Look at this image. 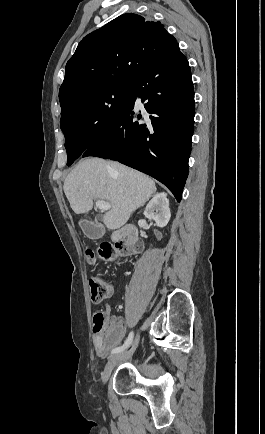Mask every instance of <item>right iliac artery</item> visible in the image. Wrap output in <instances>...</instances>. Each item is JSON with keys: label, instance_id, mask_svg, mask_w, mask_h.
Wrapping results in <instances>:
<instances>
[{"label": "right iliac artery", "instance_id": "obj_1", "mask_svg": "<svg viewBox=\"0 0 265 434\" xmlns=\"http://www.w3.org/2000/svg\"><path fill=\"white\" fill-rule=\"evenodd\" d=\"M133 339V332H130L128 335V338L126 339L125 343L120 346V347H116L111 351V354H117L119 352H122L123 350H125L132 342Z\"/></svg>", "mask_w": 265, "mask_h": 434}]
</instances>
